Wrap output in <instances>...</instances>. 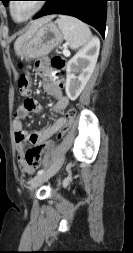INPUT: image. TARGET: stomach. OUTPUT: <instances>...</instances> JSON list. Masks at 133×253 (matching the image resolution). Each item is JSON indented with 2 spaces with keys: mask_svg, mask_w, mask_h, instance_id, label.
I'll list each match as a JSON object with an SVG mask.
<instances>
[{
  "mask_svg": "<svg viewBox=\"0 0 133 253\" xmlns=\"http://www.w3.org/2000/svg\"><path fill=\"white\" fill-rule=\"evenodd\" d=\"M63 41V34L55 23L48 22L26 39L19 48L18 54L25 59H34L48 55Z\"/></svg>",
  "mask_w": 133,
  "mask_h": 253,
  "instance_id": "1",
  "label": "stomach"
}]
</instances>
